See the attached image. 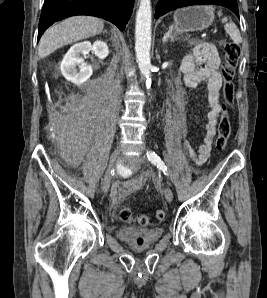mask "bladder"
<instances>
[{"instance_id":"31cf9c89","label":"bladder","mask_w":267,"mask_h":298,"mask_svg":"<svg viewBox=\"0 0 267 298\" xmlns=\"http://www.w3.org/2000/svg\"><path fill=\"white\" fill-rule=\"evenodd\" d=\"M163 232L162 227L137 228L124 226L117 229L116 236L133 248L144 249L157 243Z\"/></svg>"}]
</instances>
